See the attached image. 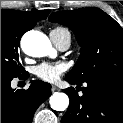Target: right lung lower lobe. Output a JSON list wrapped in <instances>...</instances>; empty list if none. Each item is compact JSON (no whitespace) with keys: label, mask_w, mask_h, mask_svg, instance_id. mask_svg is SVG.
Segmentation results:
<instances>
[{"label":"right lung lower lobe","mask_w":123,"mask_h":123,"mask_svg":"<svg viewBox=\"0 0 123 123\" xmlns=\"http://www.w3.org/2000/svg\"><path fill=\"white\" fill-rule=\"evenodd\" d=\"M11 80H1V123H31L36 109L50 97L51 85L34 80L27 90H15Z\"/></svg>","instance_id":"right-lung-lower-lobe-1"}]
</instances>
